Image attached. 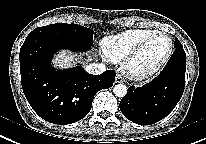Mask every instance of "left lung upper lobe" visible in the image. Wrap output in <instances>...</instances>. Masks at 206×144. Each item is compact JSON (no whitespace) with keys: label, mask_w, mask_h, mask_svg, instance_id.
I'll return each instance as SVG.
<instances>
[{"label":"left lung upper lobe","mask_w":206,"mask_h":144,"mask_svg":"<svg viewBox=\"0 0 206 144\" xmlns=\"http://www.w3.org/2000/svg\"><path fill=\"white\" fill-rule=\"evenodd\" d=\"M179 44H180L179 40L177 38H175V46L179 45Z\"/></svg>","instance_id":"obj_1"}]
</instances>
